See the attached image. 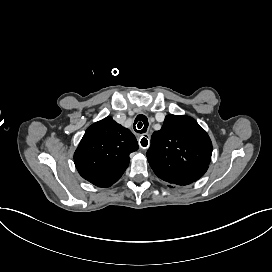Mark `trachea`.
I'll use <instances>...</instances> for the list:
<instances>
[{
    "mask_svg": "<svg viewBox=\"0 0 272 272\" xmlns=\"http://www.w3.org/2000/svg\"><path fill=\"white\" fill-rule=\"evenodd\" d=\"M133 128L137 133H145L148 128V119L146 118V116L138 115L135 119Z\"/></svg>",
    "mask_w": 272,
    "mask_h": 272,
    "instance_id": "3493384b",
    "label": "trachea"
}]
</instances>
